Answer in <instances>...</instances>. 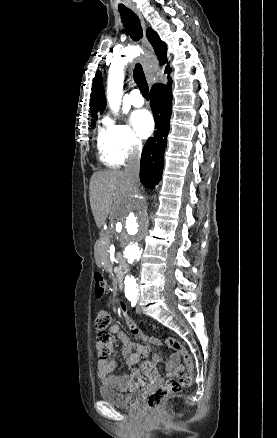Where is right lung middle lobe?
<instances>
[{
  "mask_svg": "<svg viewBox=\"0 0 277 438\" xmlns=\"http://www.w3.org/2000/svg\"><path fill=\"white\" fill-rule=\"evenodd\" d=\"M94 126H95V122L94 120H92V127L94 128Z\"/></svg>",
  "mask_w": 277,
  "mask_h": 438,
  "instance_id": "dd1d6c3e",
  "label": "right lung middle lobe"
}]
</instances>
